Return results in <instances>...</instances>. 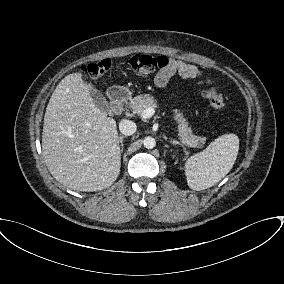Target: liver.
<instances>
[{"mask_svg": "<svg viewBox=\"0 0 284 284\" xmlns=\"http://www.w3.org/2000/svg\"><path fill=\"white\" fill-rule=\"evenodd\" d=\"M43 158L64 186L85 192L110 187L121 167L116 121L93 102L81 73L64 77L46 108Z\"/></svg>", "mask_w": 284, "mask_h": 284, "instance_id": "1", "label": "liver"}]
</instances>
